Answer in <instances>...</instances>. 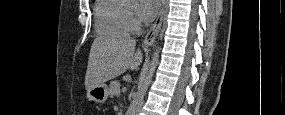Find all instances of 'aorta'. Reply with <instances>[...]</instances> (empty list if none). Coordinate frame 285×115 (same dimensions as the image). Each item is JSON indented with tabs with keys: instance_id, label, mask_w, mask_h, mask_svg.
Returning a JSON list of instances; mask_svg holds the SVG:
<instances>
[{
	"instance_id": "1",
	"label": "aorta",
	"mask_w": 285,
	"mask_h": 115,
	"mask_svg": "<svg viewBox=\"0 0 285 115\" xmlns=\"http://www.w3.org/2000/svg\"><path fill=\"white\" fill-rule=\"evenodd\" d=\"M159 59V49L157 48L152 56L151 63L146 71L145 76L141 79L138 87V92L133 97V100L128 108L127 115H138L142 107L144 97L148 90V87L152 81L156 66Z\"/></svg>"
}]
</instances>
